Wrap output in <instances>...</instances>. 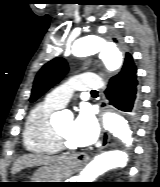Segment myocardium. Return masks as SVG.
I'll return each instance as SVG.
<instances>
[{"instance_id": "myocardium-1", "label": "myocardium", "mask_w": 160, "mask_h": 187, "mask_svg": "<svg viewBox=\"0 0 160 187\" xmlns=\"http://www.w3.org/2000/svg\"><path fill=\"white\" fill-rule=\"evenodd\" d=\"M54 132L58 139L61 151L75 152L77 150V147L72 145V143L59 131L57 127H54Z\"/></svg>"}]
</instances>
